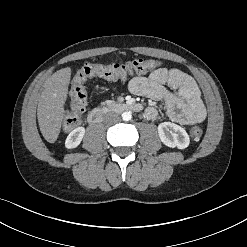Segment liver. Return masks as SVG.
I'll use <instances>...</instances> for the list:
<instances>
[{"label":"liver","mask_w":247,"mask_h":247,"mask_svg":"<svg viewBox=\"0 0 247 247\" xmlns=\"http://www.w3.org/2000/svg\"><path fill=\"white\" fill-rule=\"evenodd\" d=\"M70 78L71 69L67 67L55 72L43 84L37 118L40 131L49 143H54L60 133Z\"/></svg>","instance_id":"liver-1"}]
</instances>
